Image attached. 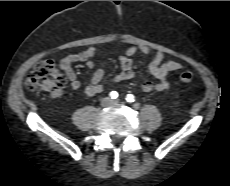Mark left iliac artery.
I'll return each mask as SVG.
<instances>
[{
    "label": "left iliac artery",
    "instance_id": "44dca946",
    "mask_svg": "<svg viewBox=\"0 0 230 186\" xmlns=\"http://www.w3.org/2000/svg\"><path fill=\"white\" fill-rule=\"evenodd\" d=\"M126 101H127V102H130V103L134 102V101H135L134 95L128 94V95L126 96Z\"/></svg>",
    "mask_w": 230,
    "mask_h": 186
}]
</instances>
